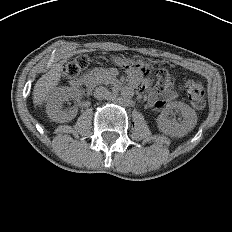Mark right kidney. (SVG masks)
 I'll return each instance as SVG.
<instances>
[{
  "label": "right kidney",
  "instance_id": "1",
  "mask_svg": "<svg viewBox=\"0 0 232 232\" xmlns=\"http://www.w3.org/2000/svg\"><path fill=\"white\" fill-rule=\"evenodd\" d=\"M76 97V92L70 87L54 89L46 99V113L48 117L57 123L71 121L77 115V109H63V103Z\"/></svg>",
  "mask_w": 232,
  "mask_h": 232
}]
</instances>
